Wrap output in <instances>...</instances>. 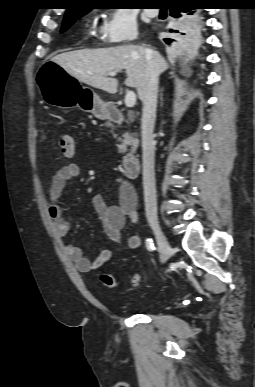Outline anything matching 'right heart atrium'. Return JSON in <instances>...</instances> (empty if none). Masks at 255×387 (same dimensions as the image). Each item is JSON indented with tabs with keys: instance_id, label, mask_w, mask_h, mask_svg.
<instances>
[{
	"instance_id": "d8ad5b80",
	"label": "right heart atrium",
	"mask_w": 255,
	"mask_h": 387,
	"mask_svg": "<svg viewBox=\"0 0 255 387\" xmlns=\"http://www.w3.org/2000/svg\"><path fill=\"white\" fill-rule=\"evenodd\" d=\"M99 35L106 44L133 41L138 36L136 17L129 9H114L100 26Z\"/></svg>"
}]
</instances>
